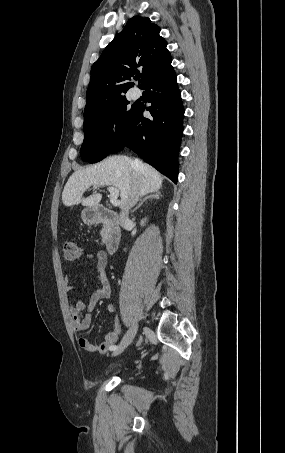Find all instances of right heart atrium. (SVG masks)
<instances>
[{"label": "right heart atrium", "mask_w": 285, "mask_h": 453, "mask_svg": "<svg viewBox=\"0 0 285 453\" xmlns=\"http://www.w3.org/2000/svg\"><path fill=\"white\" fill-rule=\"evenodd\" d=\"M119 129V124L118 122L116 121H113L111 124H110V127H109V130L112 134H116L117 131Z\"/></svg>", "instance_id": "right-heart-atrium-1"}]
</instances>
